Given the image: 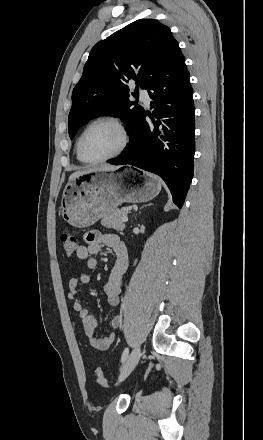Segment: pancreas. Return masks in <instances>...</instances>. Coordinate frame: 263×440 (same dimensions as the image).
Returning <instances> with one entry per match:
<instances>
[{
    "mask_svg": "<svg viewBox=\"0 0 263 440\" xmlns=\"http://www.w3.org/2000/svg\"><path fill=\"white\" fill-rule=\"evenodd\" d=\"M127 209H117L113 211L111 214L105 216L101 224L106 228H112L118 231H123L125 228V224L122 221L123 216H127Z\"/></svg>",
    "mask_w": 263,
    "mask_h": 440,
    "instance_id": "pancreas-1",
    "label": "pancreas"
}]
</instances>
